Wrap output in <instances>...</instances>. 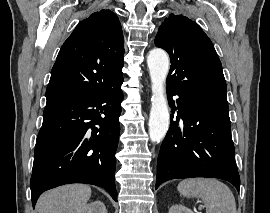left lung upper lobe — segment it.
<instances>
[{"mask_svg": "<svg viewBox=\"0 0 270 213\" xmlns=\"http://www.w3.org/2000/svg\"><path fill=\"white\" fill-rule=\"evenodd\" d=\"M155 45L170 56L167 88L228 105L221 62L197 23L170 14L159 27Z\"/></svg>", "mask_w": 270, "mask_h": 213, "instance_id": "left-lung-upper-lobe-1", "label": "left lung upper lobe"}]
</instances>
